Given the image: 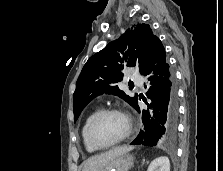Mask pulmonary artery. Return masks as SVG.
Here are the masks:
<instances>
[{
	"label": "pulmonary artery",
	"instance_id": "1",
	"mask_svg": "<svg viewBox=\"0 0 223 171\" xmlns=\"http://www.w3.org/2000/svg\"><path fill=\"white\" fill-rule=\"evenodd\" d=\"M131 79L138 87H142L143 82L138 75H133Z\"/></svg>",
	"mask_w": 223,
	"mask_h": 171
}]
</instances>
